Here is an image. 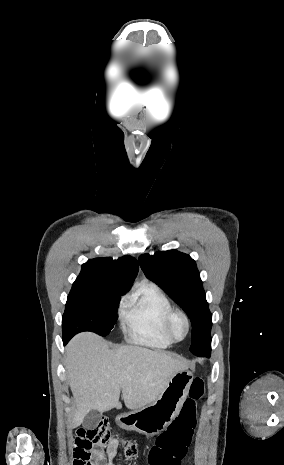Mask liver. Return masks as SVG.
Masks as SVG:
<instances>
[{
    "label": "liver",
    "instance_id": "6515ba94",
    "mask_svg": "<svg viewBox=\"0 0 284 465\" xmlns=\"http://www.w3.org/2000/svg\"><path fill=\"white\" fill-rule=\"evenodd\" d=\"M66 371L75 399L71 429L83 423L89 411L121 409L122 391L127 409L138 411L156 401L171 377L188 369L186 359L165 351L125 345L110 351L94 333H80L66 347Z\"/></svg>",
    "mask_w": 284,
    "mask_h": 465
}]
</instances>
